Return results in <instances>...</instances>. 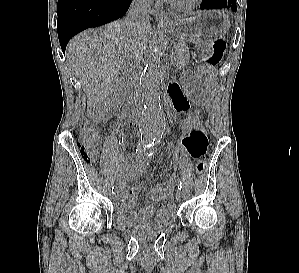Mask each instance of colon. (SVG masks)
<instances>
[{"label":"colon","instance_id":"obj_1","mask_svg":"<svg viewBox=\"0 0 299 273\" xmlns=\"http://www.w3.org/2000/svg\"><path fill=\"white\" fill-rule=\"evenodd\" d=\"M226 52V42L217 40L212 46L211 53L206 57L205 61L209 64H218L222 61ZM201 113L199 110L190 111L180 122V131L182 137L188 136L193 130L200 127ZM98 132L91 122H84L78 129V149L81 156L87 162H97L100 156L98 144ZM206 169V161L198 160L195 163V172L201 175Z\"/></svg>","mask_w":299,"mask_h":273}]
</instances>
